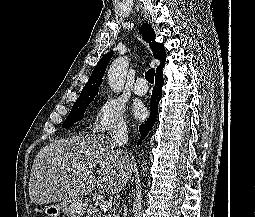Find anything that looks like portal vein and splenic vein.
<instances>
[{"instance_id":"1","label":"portal vein and splenic vein","mask_w":255,"mask_h":217,"mask_svg":"<svg viewBox=\"0 0 255 217\" xmlns=\"http://www.w3.org/2000/svg\"><path fill=\"white\" fill-rule=\"evenodd\" d=\"M75 168L80 169V170H84L85 169V167H83V166H75ZM68 171H72V168H68ZM111 208H112V200H110V199L104 200L100 204V209H101L102 212H107Z\"/></svg>"}]
</instances>
